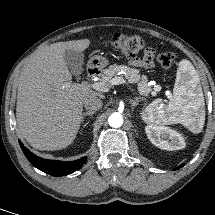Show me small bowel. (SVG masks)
<instances>
[{
    "label": "small bowel",
    "instance_id": "small-bowel-1",
    "mask_svg": "<svg viewBox=\"0 0 215 215\" xmlns=\"http://www.w3.org/2000/svg\"><path fill=\"white\" fill-rule=\"evenodd\" d=\"M154 63V51L151 48H148L143 58L141 59H133L131 60V65L136 67H142V68H150L153 66Z\"/></svg>",
    "mask_w": 215,
    "mask_h": 215
}]
</instances>
